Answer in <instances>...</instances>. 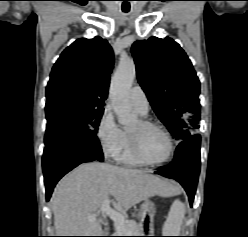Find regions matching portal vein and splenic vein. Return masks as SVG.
Wrapping results in <instances>:
<instances>
[{
  "mask_svg": "<svg viewBox=\"0 0 248 237\" xmlns=\"http://www.w3.org/2000/svg\"><path fill=\"white\" fill-rule=\"evenodd\" d=\"M99 212H101L102 214H105V215L109 216V218L114 221V223L116 224V226L118 228L124 227V224H125V218H124V216L121 213L116 212L115 210H113L110 207V200L109 199H106L103 202V204H102ZM88 219L90 221H95L96 220V217L95 216H88Z\"/></svg>",
  "mask_w": 248,
  "mask_h": 237,
  "instance_id": "obj_1",
  "label": "portal vein and splenic vein"
}]
</instances>
